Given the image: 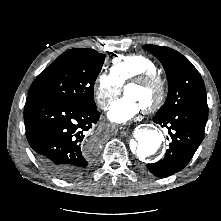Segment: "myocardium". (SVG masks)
<instances>
[{"mask_svg": "<svg viewBox=\"0 0 221 221\" xmlns=\"http://www.w3.org/2000/svg\"><path fill=\"white\" fill-rule=\"evenodd\" d=\"M141 85H148L156 88L157 90L156 98L143 108L145 112L156 111L163 105L166 99L167 90L163 78L157 72H145L130 79L124 85V91L129 86H141Z\"/></svg>", "mask_w": 221, "mask_h": 221, "instance_id": "1", "label": "myocardium"}]
</instances>
